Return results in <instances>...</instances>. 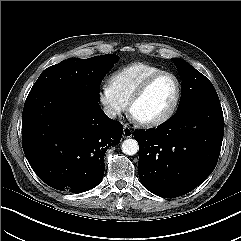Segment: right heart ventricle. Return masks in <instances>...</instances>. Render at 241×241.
<instances>
[{"instance_id":"right-heart-ventricle-1","label":"right heart ventricle","mask_w":241,"mask_h":241,"mask_svg":"<svg viewBox=\"0 0 241 241\" xmlns=\"http://www.w3.org/2000/svg\"><path fill=\"white\" fill-rule=\"evenodd\" d=\"M162 71L158 66L135 62L115 71L110 77V84L117 93L129 103L140 85L151 75Z\"/></svg>"}]
</instances>
